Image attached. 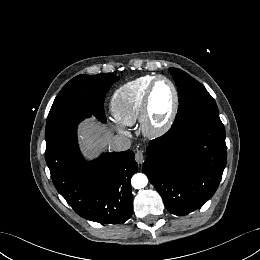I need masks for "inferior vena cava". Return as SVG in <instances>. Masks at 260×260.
<instances>
[{
  "label": "inferior vena cava",
  "instance_id": "602c4592",
  "mask_svg": "<svg viewBox=\"0 0 260 260\" xmlns=\"http://www.w3.org/2000/svg\"><path fill=\"white\" fill-rule=\"evenodd\" d=\"M131 147L129 138L121 135H115L110 142V148L114 151H125Z\"/></svg>",
  "mask_w": 260,
  "mask_h": 260
}]
</instances>
